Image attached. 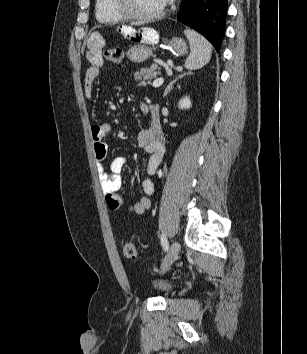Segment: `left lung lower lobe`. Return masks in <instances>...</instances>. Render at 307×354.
Here are the masks:
<instances>
[{
  "instance_id": "1",
  "label": "left lung lower lobe",
  "mask_w": 307,
  "mask_h": 354,
  "mask_svg": "<svg viewBox=\"0 0 307 354\" xmlns=\"http://www.w3.org/2000/svg\"><path fill=\"white\" fill-rule=\"evenodd\" d=\"M227 9V0H182L177 19L205 36L219 51Z\"/></svg>"
}]
</instances>
